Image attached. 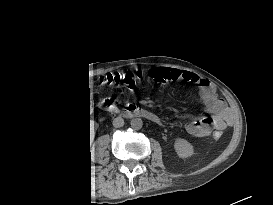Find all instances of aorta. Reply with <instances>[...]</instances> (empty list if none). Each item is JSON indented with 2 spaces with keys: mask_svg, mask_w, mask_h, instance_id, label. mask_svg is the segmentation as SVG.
<instances>
[{
  "mask_svg": "<svg viewBox=\"0 0 273 205\" xmlns=\"http://www.w3.org/2000/svg\"><path fill=\"white\" fill-rule=\"evenodd\" d=\"M131 128L134 130H140L143 126L141 118H133L130 122Z\"/></svg>",
  "mask_w": 273,
  "mask_h": 205,
  "instance_id": "1",
  "label": "aorta"
}]
</instances>
